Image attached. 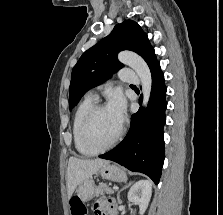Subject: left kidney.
<instances>
[{
  "mask_svg": "<svg viewBox=\"0 0 223 215\" xmlns=\"http://www.w3.org/2000/svg\"><path fill=\"white\" fill-rule=\"evenodd\" d=\"M152 195V183L149 179H140L136 181L128 191L129 201L138 203L140 207V215H143L145 209L148 207L150 197Z\"/></svg>",
  "mask_w": 223,
  "mask_h": 215,
  "instance_id": "left-kidney-1",
  "label": "left kidney"
}]
</instances>
